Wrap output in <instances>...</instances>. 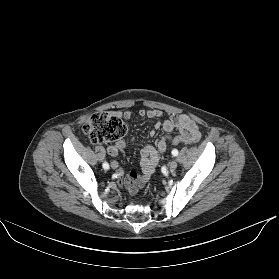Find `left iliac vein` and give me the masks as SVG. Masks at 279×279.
I'll return each instance as SVG.
<instances>
[{
	"mask_svg": "<svg viewBox=\"0 0 279 279\" xmlns=\"http://www.w3.org/2000/svg\"><path fill=\"white\" fill-rule=\"evenodd\" d=\"M177 166H178L177 161L173 160L169 163L168 168L170 171H174L176 170Z\"/></svg>",
	"mask_w": 279,
	"mask_h": 279,
	"instance_id": "4c4485c4",
	"label": "left iliac vein"
}]
</instances>
